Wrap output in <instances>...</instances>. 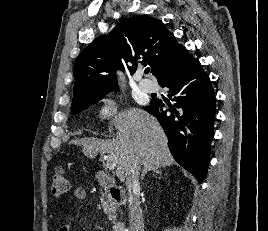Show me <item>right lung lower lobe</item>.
Segmentation results:
<instances>
[{
    "mask_svg": "<svg viewBox=\"0 0 268 231\" xmlns=\"http://www.w3.org/2000/svg\"><path fill=\"white\" fill-rule=\"evenodd\" d=\"M158 83L169 88L168 96L173 97L174 104L166 106L162 100L153 99L144 109L159 120L174 159L202 183L209 164L216 111L209 76L195 59Z\"/></svg>",
    "mask_w": 268,
    "mask_h": 231,
    "instance_id": "right-lung-lower-lobe-1",
    "label": "right lung lower lobe"
}]
</instances>
